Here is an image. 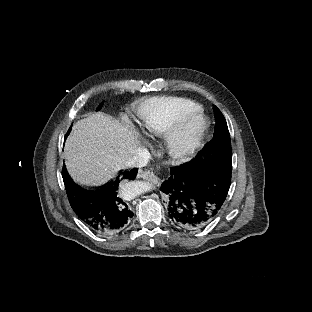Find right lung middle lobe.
<instances>
[{
  "instance_id": "dd1d6c3e",
  "label": "right lung middle lobe",
  "mask_w": 312,
  "mask_h": 312,
  "mask_svg": "<svg viewBox=\"0 0 312 312\" xmlns=\"http://www.w3.org/2000/svg\"><path fill=\"white\" fill-rule=\"evenodd\" d=\"M102 106H103V103L97 108V111L100 110ZM70 131H71V128H70L69 132ZM69 132H68V134H69Z\"/></svg>"
}]
</instances>
